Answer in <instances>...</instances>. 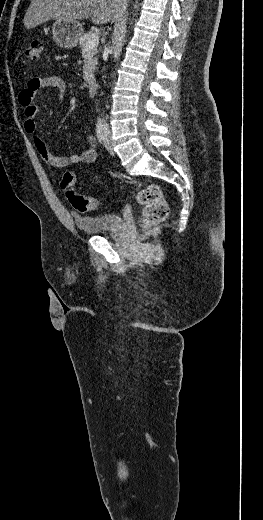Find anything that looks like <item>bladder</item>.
<instances>
[{
	"instance_id": "obj_1",
	"label": "bladder",
	"mask_w": 263,
	"mask_h": 520,
	"mask_svg": "<svg viewBox=\"0 0 263 520\" xmlns=\"http://www.w3.org/2000/svg\"><path fill=\"white\" fill-rule=\"evenodd\" d=\"M79 230L88 234L115 233L123 229L124 220L119 214L74 216Z\"/></svg>"
}]
</instances>
